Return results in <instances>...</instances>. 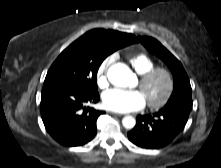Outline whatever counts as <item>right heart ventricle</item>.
<instances>
[{
  "label": "right heart ventricle",
  "instance_id": "obj_1",
  "mask_svg": "<svg viewBox=\"0 0 221 168\" xmlns=\"http://www.w3.org/2000/svg\"><path fill=\"white\" fill-rule=\"evenodd\" d=\"M129 62L139 75L156 67V62L145 53L130 56Z\"/></svg>",
  "mask_w": 221,
  "mask_h": 168
}]
</instances>
